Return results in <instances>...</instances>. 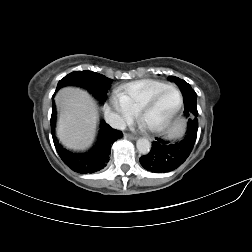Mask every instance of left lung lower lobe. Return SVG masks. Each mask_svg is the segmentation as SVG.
<instances>
[{
    "instance_id": "left-lung-lower-lobe-1",
    "label": "left lung lower lobe",
    "mask_w": 252,
    "mask_h": 252,
    "mask_svg": "<svg viewBox=\"0 0 252 252\" xmlns=\"http://www.w3.org/2000/svg\"><path fill=\"white\" fill-rule=\"evenodd\" d=\"M184 98V114L188 118L187 131L183 140L176 143L155 138L150 152L140 158L141 165L155 173L170 172L178 168L190 155L197 137V95L190 85L179 86Z\"/></svg>"
}]
</instances>
